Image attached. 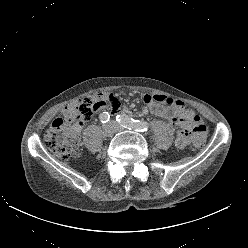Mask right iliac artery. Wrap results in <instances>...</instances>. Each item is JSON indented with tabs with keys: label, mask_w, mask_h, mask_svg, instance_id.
Returning a JSON list of instances; mask_svg holds the SVG:
<instances>
[{
	"label": "right iliac artery",
	"mask_w": 248,
	"mask_h": 248,
	"mask_svg": "<svg viewBox=\"0 0 248 248\" xmlns=\"http://www.w3.org/2000/svg\"><path fill=\"white\" fill-rule=\"evenodd\" d=\"M99 119L102 123H107L110 120V115L108 112H103L100 114Z\"/></svg>",
	"instance_id": "obj_1"
}]
</instances>
